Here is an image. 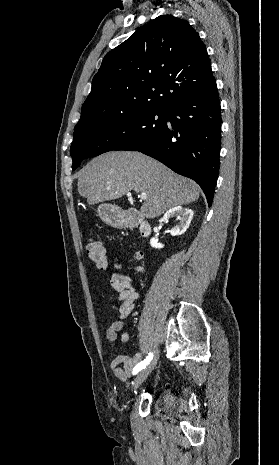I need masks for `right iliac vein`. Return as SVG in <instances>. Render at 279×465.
I'll list each match as a JSON object with an SVG mask.
<instances>
[{
  "label": "right iliac vein",
  "mask_w": 279,
  "mask_h": 465,
  "mask_svg": "<svg viewBox=\"0 0 279 465\" xmlns=\"http://www.w3.org/2000/svg\"><path fill=\"white\" fill-rule=\"evenodd\" d=\"M158 356H156L148 365H146L145 368H143L139 374L136 376L134 380L133 387L134 389H137L145 380L146 378L150 375L152 370L157 364Z\"/></svg>",
  "instance_id": "63e3f726"
}]
</instances>
